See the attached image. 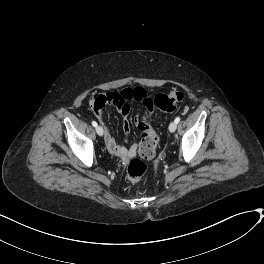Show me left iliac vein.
I'll list each match as a JSON object with an SVG mask.
<instances>
[{
  "label": "left iliac vein",
  "instance_id": "1",
  "mask_svg": "<svg viewBox=\"0 0 264 264\" xmlns=\"http://www.w3.org/2000/svg\"><path fill=\"white\" fill-rule=\"evenodd\" d=\"M177 129V123L175 121L171 122L169 125V131L170 132H175V130Z\"/></svg>",
  "mask_w": 264,
  "mask_h": 264
}]
</instances>
